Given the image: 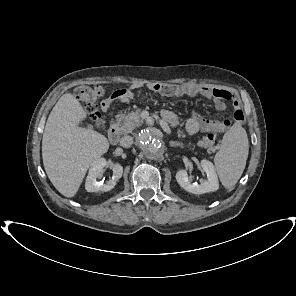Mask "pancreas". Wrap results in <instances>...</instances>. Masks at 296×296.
I'll return each mask as SVG.
<instances>
[{"instance_id":"obj_1","label":"pancreas","mask_w":296,"mask_h":296,"mask_svg":"<svg viewBox=\"0 0 296 296\" xmlns=\"http://www.w3.org/2000/svg\"><path fill=\"white\" fill-rule=\"evenodd\" d=\"M139 112V110H136L128 112L127 114L121 113L116 115V125L118 126V130L121 134L131 133L143 123ZM178 137L182 139L186 137L183 130H178Z\"/></svg>"}]
</instances>
